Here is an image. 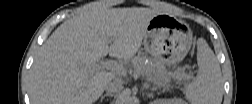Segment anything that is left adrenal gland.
I'll return each mask as SVG.
<instances>
[{
    "mask_svg": "<svg viewBox=\"0 0 252 104\" xmlns=\"http://www.w3.org/2000/svg\"><path fill=\"white\" fill-rule=\"evenodd\" d=\"M158 89H159V87H153V88H151V91H156Z\"/></svg>",
    "mask_w": 252,
    "mask_h": 104,
    "instance_id": "a2214340",
    "label": "left adrenal gland"
}]
</instances>
